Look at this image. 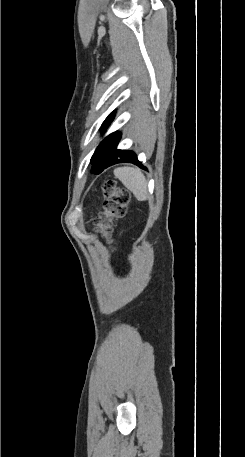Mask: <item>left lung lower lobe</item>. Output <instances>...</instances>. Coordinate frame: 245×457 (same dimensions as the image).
Masks as SVG:
<instances>
[{
    "mask_svg": "<svg viewBox=\"0 0 245 457\" xmlns=\"http://www.w3.org/2000/svg\"><path fill=\"white\" fill-rule=\"evenodd\" d=\"M109 123L110 122L103 124V127L105 128ZM120 138L121 133L114 132L101 142L91 158V163L93 165L91 173L100 174L107 167L123 162H130L138 165L142 169H147L138 161L137 156L133 151L116 149Z\"/></svg>",
    "mask_w": 245,
    "mask_h": 457,
    "instance_id": "obj_1",
    "label": "left lung lower lobe"
}]
</instances>
